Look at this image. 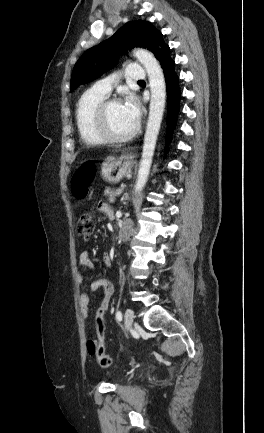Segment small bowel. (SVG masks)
Listing matches in <instances>:
<instances>
[{
	"label": "small bowel",
	"instance_id": "small-bowel-1",
	"mask_svg": "<svg viewBox=\"0 0 264 433\" xmlns=\"http://www.w3.org/2000/svg\"><path fill=\"white\" fill-rule=\"evenodd\" d=\"M97 209L100 212L107 214L109 217H112L113 215V211L111 207L104 201H100L98 203ZM104 260L108 266H111L113 264L112 258L109 255H105ZM79 264L86 268H93V262L89 258V255L86 251L81 252V254L79 255ZM77 282L82 288L85 289V291L82 292L80 295V310L83 318L85 319L89 318L90 296L87 290L91 292H95L99 289H103L104 299L102 303L106 306V308H108L109 302L114 293V286L108 279L105 278L97 279L93 281L89 286H85L82 275L78 274ZM97 348H98L97 339H89L87 341V352L89 355L95 356L97 353Z\"/></svg>",
	"mask_w": 264,
	"mask_h": 433
}]
</instances>
